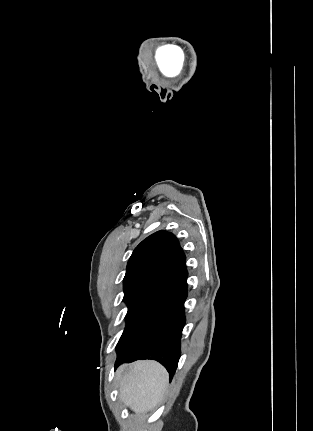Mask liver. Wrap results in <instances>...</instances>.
I'll list each match as a JSON object with an SVG mask.
<instances>
[{
  "mask_svg": "<svg viewBox=\"0 0 313 431\" xmlns=\"http://www.w3.org/2000/svg\"><path fill=\"white\" fill-rule=\"evenodd\" d=\"M120 398L135 413L153 409L162 399L168 385L166 369L156 361L125 364L117 371Z\"/></svg>",
  "mask_w": 313,
  "mask_h": 431,
  "instance_id": "obj_1",
  "label": "liver"
}]
</instances>
